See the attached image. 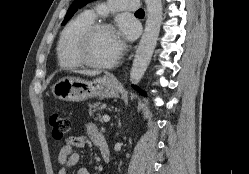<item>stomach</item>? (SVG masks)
Returning a JSON list of instances; mask_svg holds the SVG:
<instances>
[{"label":"stomach","instance_id":"1","mask_svg":"<svg viewBox=\"0 0 249 174\" xmlns=\"http://www.w3.org/2000/svg\"><path fill=\"white\" fill-rule=\"evenodd\" d=\"M122 85L112 75L87 81L80 78L65 77L52 86L53 95L64 101H84L93 97H118Z\"/></svg>","mask_w":249,"mask_h":174}]
</instances>
